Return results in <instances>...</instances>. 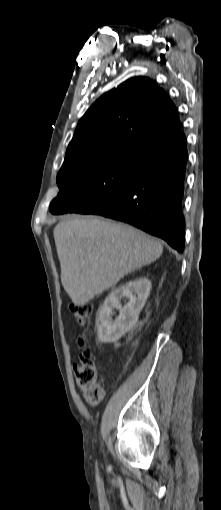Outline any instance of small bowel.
<instances>
[{"label":"small bowel","instance_id":"c3829d8e","mask_svg":"<svg viewBox=\"0 0 221 510\" xmlns=\"http://www.w3.org/2000/svg\"><path fill=\"white\" fill-rule=\"evenodd\" d=\"M73 369H74V371H75V372H77V370H78V365H74V366H73Z\"/></svg>","mask_w":221,"mask_h":510}]
</instances>
